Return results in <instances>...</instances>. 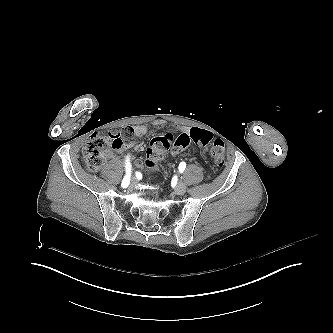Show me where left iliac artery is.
<instances>
[{
    "instance_id": "obj_1",
    "label": "left iliac artery",
    "mask_w": 333,
    "mask_h": 333,
    "mask_svg": "<svg viewBox=\"0 0 333 333\" xmlns=\"http://www.w3.org/2000/svg\"><path fill=\"white\" fill-rule=\"evenodd\" d=\"M185 168H186V163L181 162L179 164V171L182 173L185 170Z\"/></svg>"
}]
</instances>
